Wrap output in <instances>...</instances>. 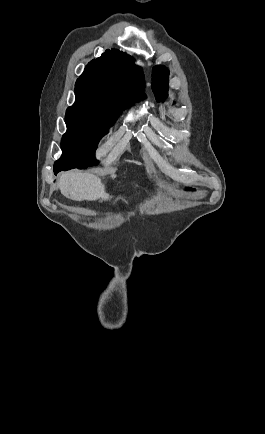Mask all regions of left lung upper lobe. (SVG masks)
<instances>
[{
    "label": "left lung upper lobe",
    "instance_id": "left-lung-upper-lobe-1",
    "mask_svg": "<svg viewBox=\"0 0 265 434\" xmlns=\"http://www.w3.org/2000/svg\"><path fill=\"white\" fill-rule=\"evenodd\" d=\"M168 75V69L161 65L155 66L152 70V89L159 102L168 97Z\"/></svg>",
    "mask_w": 265,
    "mask_h": 434
}]
</instances>
